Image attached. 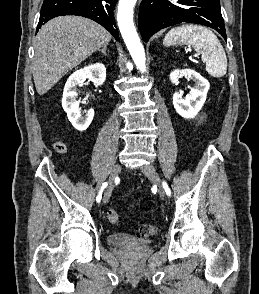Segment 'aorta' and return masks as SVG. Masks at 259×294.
<instances>
[{
  "mask_svg": "<svg viewBox=\"0 0 259 294\" xmlns=\"http://www.w3.org/2000/svg\"><path fill=\"white\" fill-rule=\"evenodd\" d=\"M137 0H119L117 22L131 57L141 72L146 71V58L133 23V9Z\"/></svg>",
  "mask_w": 259,
  "mask_h": 294,
  "instance_id": "obj_1",
  "label": "aorta"
}]
</instances>
